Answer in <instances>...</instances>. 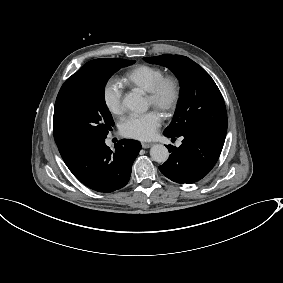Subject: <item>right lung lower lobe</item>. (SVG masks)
I'll list each match as a JSON object with an SVG mask.
<instances>
[{"label": "right lung lower lobe", "mask_w": 283, "mask_h": 283, "mask_svg": "<svg viewBox=\"0 0 283 283\" xmlns=\"http://www.w3.org/2000/svg\"><path fill=\"white\" fill-rule=\"evenodd\" d=\"M140 150L141 144L136 140L123 139L112 151L105 139H100L64 162L87 187L98 192H113L128 183L132 164Z\"/></svg>", "instance_id": "obj_1"}]
</instances>
